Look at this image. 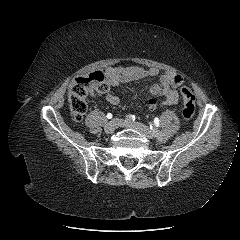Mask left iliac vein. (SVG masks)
Listing matches in <instances>:
<instances>
[{
	"mask_svg": "<svg viewBox=\"0 0 240 240\" xmlns=\"http://www.w3.org/2000/svg\"><path fill=\"white\" fill-rule=\"evenodd\" d=\"M121 126L134 129L141 133L143 136H145L147 139H153L155 137L154 133L150 130V128L143 123L123 122Z\"/></svg>",
	"mask_w": 240,
	"mask_h": 240,
	"instance_id": "left-iliac-vein-1",
	"label": "left iliac vein"
}]
</instances>
